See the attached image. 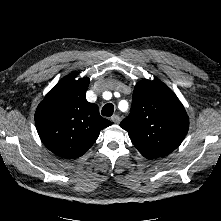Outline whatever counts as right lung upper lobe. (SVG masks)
Returning a JSON list of instances; mask_svg holds the SVG:
<instances>
[{
	"instance_id": "obj_1",
	"label": "right lung upper lobe",
	"mask_w": 221,
	"mask_h": 221,
	"mask_svg": "<svg viewBox=\"0 0 221 221\" xmlns=\"http://www.w3.org/2000/svg\"><path fill=\"white\" fill-rule=\"evenodd\" d=\"M71 74L61 79L35 112L38 134L54 154L65 158L82 156L111 122L85 98L89 78Z\"/></svg>"
}]
</instances>
